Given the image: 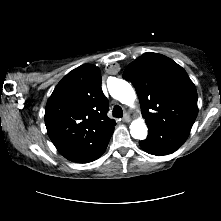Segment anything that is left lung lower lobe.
<instances>
[{
	"mask_svg": "<svg viewBox=\"0 0 221 221\" xmlns=\"http://www.w3.org/2000/svg\"><path fill=\"white\" fill-rule=\"evenodd\" d=\"M148 136L139 141L147 153L162 156L175 152L186 141L190 130L147 124Z\"/></svg>",
	"mask_w": 221,
	"mask_h": 221,
	"instance_id": "obj_1",
	"label": "left lung lower lobe"
}]
</instances>
